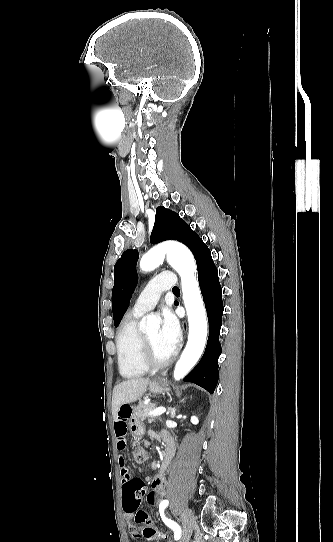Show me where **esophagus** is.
<instances>
[{
  "instance_id": "1",
  "label": "esophagus",
  "mask_w": 333,
  "mask_h": 542,
  "mask_svg": "<svg viewBox=\"0 0 333 542\" xmlns=\"http://www.w3.org/2000/svg\"><path fill=\"white\" fill-rule=\"evenodd\" d=\"M166 374H167L166 370L162 371V373H161L162 376H165Z\"/></svg>"
}]
</instances>
